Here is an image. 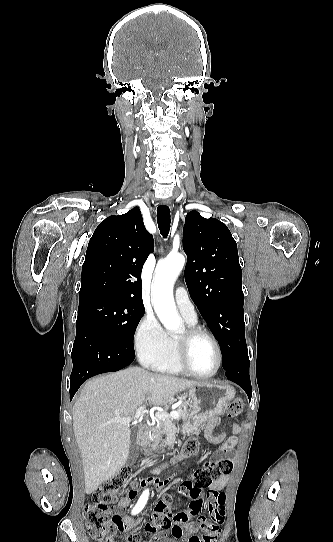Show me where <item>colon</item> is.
Listing matches in <instances>:
<instances>
[{
	"label": "colon",
	"instance_id": "obj_1",
	"mask_svg": "<svg viewBox=\"0 0 333 542\" xmlns=\"http://www.w3.org/2000/svg\"><path fill=\"white\" fill-rule=\"evenodd\" d=\"M243 410L241 399H235L227 406V416L230 419L237 418ZM200 448L199 439L191 437L183 442L180 451L174 454L172 461L179 459H188L196 456ZM162 466H155L148 470V474H154L162 470ZM233 464L229 459H220L211 463L209 467L196 470L194 480L185 483L186 495L192 500H198L201 505H189L187 513L194 517V522L203 525V542H211L210 536H216L220 530L221 524L226 516V495L224 492L214 490L212 480L220 476L227 475L232 471ZM132 476V469L124 467L120 473L105 480L102 486L97 489L92 499L88 501L84 508L85 524L94 539L110 537L116 532V524L121 522V515L124 505L119 501H126L129 490L131 496L136 490V482L130 487L127 486ZM150 478L145 476L140 482ZM201 494H207L210 498L208 503L201 499ZM206 508V509H204ZM210 515H206V512ZM187 523L186 512L184 510H175L174 514L169 509L167 500H157L155 510L149 516L146 524L149 533L162 535L164 532H173L177 537L182 534L180 526ZM155 538H146L139 532L130 534L126 537V542H153Z\"/></svg>",
	"mask_w": 333,
	"mask_h": 542
}]
</instances>
